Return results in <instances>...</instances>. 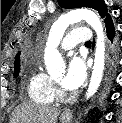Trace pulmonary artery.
<instances>
[{
  "label": "pulmonary artery",
  "mask_w": 122,
  "mask_h": 123,
  "mask_svg": "<svg viewBox=\"0 0 122 123\" xmlns=\"http://www.w3.org/2000/svg\"><path fill=\"white\" fill-rule=\"evenodd\" d=\"M91 39V31L86 27L75 28L71 30L62 40L61 48L69 50L79 43H86Z\"/></svg>",
  "instance_id": "pulmonary-artery-1"
}]
</instances>
